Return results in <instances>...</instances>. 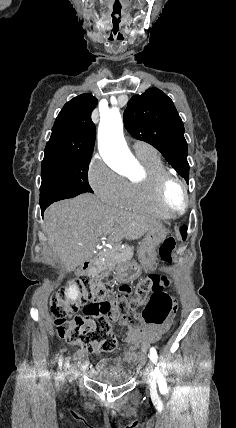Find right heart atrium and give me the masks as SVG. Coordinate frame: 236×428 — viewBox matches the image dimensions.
Instances as JSON below:
<instances>
[{"label": "right heart atrium", "mask_w": 236, "mask_h": 428, "mask_svg": "<svg viewBox=\"0 0 236 428\" xmlns=\"http://www.w3.org/2000/svg\"><path fill=\"white\" fill-rule=\"evenodd\" d=\"M88 182L98 200H106V206H122L127 181L98 155L89 164Z\"/></svg>", "instance_id": "obj_1"}]
</instances>
